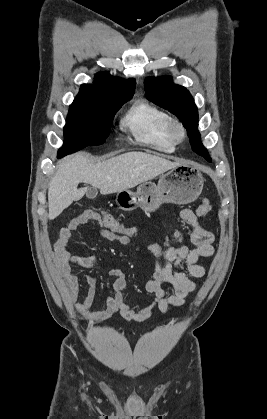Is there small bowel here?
<instances>
[{"label": "small bowel", "mask_w": 267, "mask_h": 419, "mask_svg": "<svg viewBox=\"0 0 267 419\" xmlns=\"http://www.w3.org/2000/svg\"><path fill=\"white\" fill-rule=\"evenodd\" d=\"M181 219L191 226L190 240L194 245L189 248L185 245L179 247L168 246L162 248L158 244L148 246L157 259L154 279L145 285V290L153 296L152 300L141 309L132 308L127 302L124 292L126 288V275L121 269H112L109 275L114 278L112 284L113 294L106 299V308L100 311H92L90 308L96 297V280L87 275L88 288L82 302H77L81 291L78 277L73 272L77 266L85 269H93L98 266L95 256L80 257L70 253L68 247L70 239L75 231L83 225L94 222L99 225L97 234L106 241L119 242L118 237L104 228L101 224L100 215L92 210H85L73 217L59 232L53 248V258L58 276L63 280L68 298L74 305L80 318L88 323H97L109 319L119 313L126 320L142 322L149 319L155 309L163 313L171 311L174 307L182 306L189 293L195 289L193 278H202L206 270L199 260L211 257L214 254L213 234L203 228L198 222V215L190 209H183L179 213ZM135 250L141 251V247L132 245ZM168 286L172 293L167 295L164 287Z\"/></svg>", "instance_id": "c3829d8e"}]
</instances>
